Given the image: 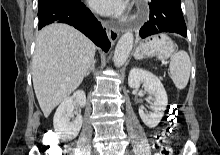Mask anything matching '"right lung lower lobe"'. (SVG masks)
Instances as JSON below:
<instances>
[{
    "label": "right lung lower lobe",
    "mask_w": 220,
    "mask_h": 155,
    "mask_svg": "<svg viewBox=\"0 0 220 155\" xmlns=\"http://www.w3.org/2000/svg\"><path fill=\"white\" fill-rule=\"evenodd\" d=\"M39 29L53 22L67 23L88 36L107 52L111 43L106 32L91 11L79 0L60 2L38 10Z\"/></svg>",
    "instance_id": "98d812e1"
}]
</instances>
